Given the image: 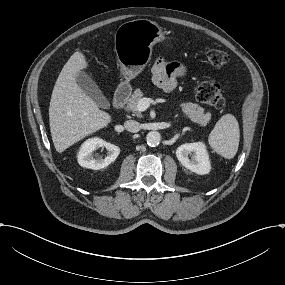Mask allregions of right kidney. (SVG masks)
Wrapping results in <instances>:
<instances>
[{"mask_svg": "<svg viewBox=\"0 0 285 285\" xmlns=\"http://www.w3.org/2000/svg\"><path fill=\"white\" fill-rule=\"evenodd\" d=\"M98 148H106L107 157H105V159H99L93 156V153ZM119 153V147L113 144L105 142L102 139H90L81 147L78 154V163L84 168L99 170L114 162Z\"/></svg>", "mask_w": 285, "mask_h": 285, "instance_id": "obj_1", "label": "right kidney"}]
</instances>
